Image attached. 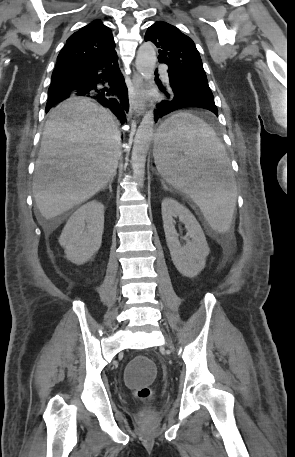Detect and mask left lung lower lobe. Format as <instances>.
Instances as JSON below:
<instances>
[{
  "label": "left lung lower lobe",
  "instance_id": "1",
  "mask_svg": "<svg viewBox=\"0 0 295 457\" xmlns=\"http://www.w3.org/2000/svg\"><path fill=\"white\" fill-rule=\"evenodd\" d=\"M168 75L169 82L166 87L160 81L156 80L159 89L165 96V100L160 102L154 111L155 122L165 114L186 107L204 108L218 116V110L210 89L206 87L192 89L186 87L178 81L177 72L171 69L168 70Z\"/></svg>",
  "mask_w": 295,
  "mask_h": 457
}]
</instances>
